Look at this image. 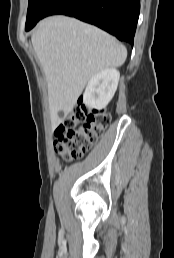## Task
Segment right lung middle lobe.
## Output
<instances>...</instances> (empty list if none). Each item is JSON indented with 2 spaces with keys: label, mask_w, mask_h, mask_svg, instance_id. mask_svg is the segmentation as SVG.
I'll return each instance as SVG.
<instances>
[{
  "label": "right lung middle lobe",
  "mask_w": 174,
  "mask_h": 258,
  "mask_svg": "<svg viewBox=\"0 0 174 258\" xmlns=\"http://www.w3.org/2000/svg\"><path fill=\"white\" fill-rule=\"evenodd\" d=\"M55 1L56 0H29L25 30L29 31L39 20L44 18V13Z\"/></svg>",
  "instance_id": "obj_1"
}]
</instances>
